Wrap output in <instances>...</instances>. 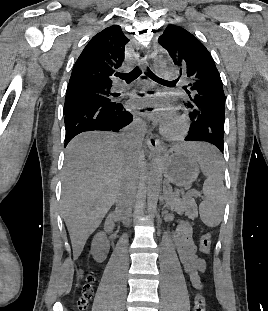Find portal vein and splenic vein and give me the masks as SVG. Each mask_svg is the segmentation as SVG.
<instances>
[{"label": "portal vein and splenic vein", "instance_id": "18ae733b", "mask_svg": "<svg viewBox=\"0 0 268 311\" xmlns=\"http://www.w3.org/2000/svg\"><path fill=\"white\" fill-rule=\"evenodd\" d=\"M186 195H195V196H197V195H199V193L196 192V191H194V192H189V193H187Z\"/></svg>", "mask_w": 268, "mask_h": 311}]
</instances>
